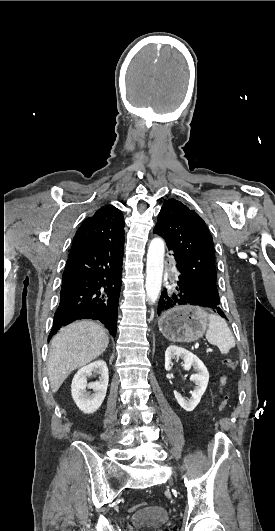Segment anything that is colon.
<instances>
[{"mask_svg": "<svg viewBox=\"0 0 275 531\" xmlns=\"http://www.w3.org/2000/svg\"><path fill=\"white\" fill-rule=\"evenodd\" d=\"M224 366L228 369L234 370L237 368L238 364H237V361L234 359H226L224 360ZM219 403H220L219 404L220 411H224L225 409H227L230 403L229 397L227 395H224L223 397L220 398ZM145 507H146V504L144 502H140L136 504L132 509L140 510V509H144Z\"/></svg>", "mask_w": 275, "mask_h": 531, "instance_id": "1", "label": "colon"}]
</instances>
